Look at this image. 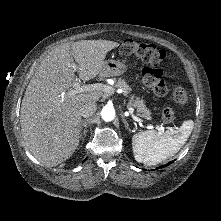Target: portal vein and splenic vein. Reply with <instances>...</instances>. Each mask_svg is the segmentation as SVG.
Here are the masks:
<instances>
[{
    "instance_id": "1",
    "label": "portal vein and splenic vein",
    "mask_w": 221,
    "mask_h": 221,
    "mask_svg": "<svg viewBox=\"0 0 221 221\" xmlns=\"http://www.w3.org/2000/svg\"><path fill=\"white\" fill-rule=\"evenodd\" d=\"M72 66H73L74 69H76V65L75 64H73ZM73 88H74V90L72 91V94H74V93H81V92H91V91L100 90V89H102L103 91L111 90L110 87L100 86V85H97V84L81 86L80 81H77V80L73 83ZM133 111H134L133 108L129 109V113L131 114L132 118L135 121L139 122V123L143 122L142 119H140L136 115H134ZM155 128L159 131L160 134H162L164 132V129H165L164 127L159 126V125H155Z\"/></svg>"
}]
</instances>
